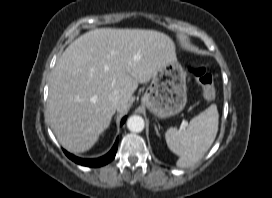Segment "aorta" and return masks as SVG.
I'll list each match as a JSON object with an SVG mask.
<instances>
[{"label": "aorta", "instance_id": "aorta-1", "mask_svg": "<svg viewBox=\"0 0 272 198\" xmlns=\"http://www.w3.org/2000/svg\"><path fill=\"white\" fill-rule=\"evenodd\" d=\"M144 125V119L141 116L133 115L127 120V127L132 132H141Z\"/></svg>", "mask_w": 272, "mask_h": 198}]
</instances>
